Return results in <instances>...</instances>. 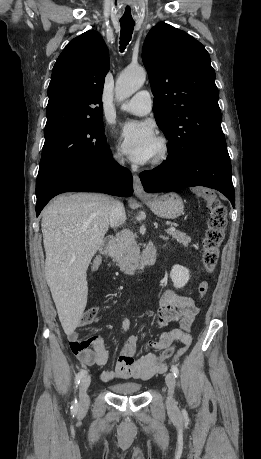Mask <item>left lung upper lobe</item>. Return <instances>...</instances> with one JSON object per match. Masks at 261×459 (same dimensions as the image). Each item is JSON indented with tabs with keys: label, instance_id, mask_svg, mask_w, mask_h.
Wrapping results in <instances>:
<instances>
[{
	"label": "left lung upper lobe",
	"instance_id": "1",
	"mask_svg": "<svg viewBox=\"0 0 261 459\" xmlns=\"http://www.w3.org/2000/svg\"><path fill=\"white\" fill-rule=\"evenodd\" d=\"M142 59L155 97V119L169 141L167 158L183 162L199 150L226 145L215 72L204 46L159 23L145 39Z\"/></svg>",
	"mask_w": 261,
	"mask_h": 459
}]
</instances>
